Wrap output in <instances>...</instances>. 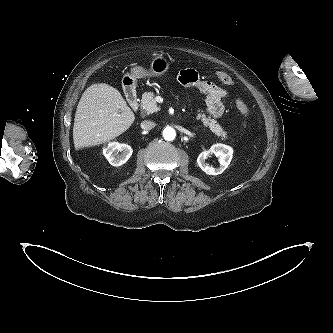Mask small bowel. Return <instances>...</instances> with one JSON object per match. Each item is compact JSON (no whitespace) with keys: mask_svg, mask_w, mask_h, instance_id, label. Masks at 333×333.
I'll return each mask as SVG.
<instances>
[{"mask_svg":"<svg viewBox=\"0 0 333 333\" xmlns=\"http://www.w3.org/2000/svg\"><path fill=\"white\" fill-rule=\"evenodd\" d=\"M178 81L184 86H193L206 97L205 113L211 117H220L226 106L228 92L211 81L203 79L194 69H184L178 74Z\"/></svg>","mask_w":333,"mask_h":333,"instance_id":"c3829d8e","label":"small bowel"}]
</instances>
